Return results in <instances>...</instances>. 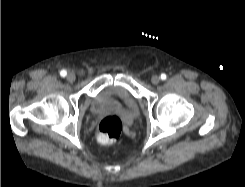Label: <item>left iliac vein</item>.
<instances>
[{
	"mask_svg": "<svg viewBox=\"0 0 245 187\" xmlns=\"http://www.w3.org/2000/svg\"><path fill=\"white\" fill-rule=\"evenodd\" d=\"M159 82H160V77H159L158 75H153V76L151 77V83H152L153 85H157Z\"/></svg>",
	"mask_w": 245,
	"mask_h": 187,
	"instance_id": "1",
	"label": "left iliac vein"
}]
</instances>
